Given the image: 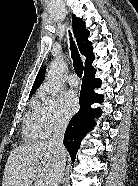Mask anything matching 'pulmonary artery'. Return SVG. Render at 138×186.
<instances>
[{"label": "pulmonary artery", "mask_w": 138, "mask_h": 186, "mask_svg": "<svg viewBox=\"0 0 138 186\" xmlns=\"http://www.w3.org/2000/svg\"><path fill=\"white\" fill-rule=\"evenodd\" d=\"M67 81H68V84H69L70 86L76 87V86L79 85V79H78V77H77L76 75H74V74H71V75L68 77Z\"/></svg>", "instance_id": "1"}]
</instances>
